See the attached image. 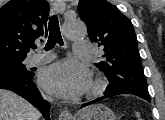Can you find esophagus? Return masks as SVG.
<instances>
[{
  "label": "esophagus",
  "instance_id": "1",
  "mask_svg": "<svg viewBox=\"0 0 165 120\" xmlns=\"http://www.w3.org/2000/svg\"><path fill=\"white\" fill-rule=\"evenodd\" d=\"M53 9L57 14H62L65 10V3L63 1H56L53 4ZM59 120H73V116L69 111H63L59 115Z\"/></svg>",
  "mask_w": 165,
  "mask_h": 120
}]
</instances>
